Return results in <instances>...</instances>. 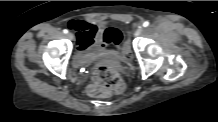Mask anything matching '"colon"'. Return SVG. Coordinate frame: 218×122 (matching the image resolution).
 Masks as SVG:
<instances>
[{
	"label": "colon",
	"mask_w": 218,
	"mask_h": 122,
	"mask_svg": "<svg viewBox=\"0 0 218 122\" xmlns=\"http://www.w3.org/2000/svg\"><path fill=\"white\" fill-rule=\"evenodd\" d=\"M126 38V33L121 27H106L102 31L101 46L103 49L115 52L119 50ZM123 52L126 58L130 57V46L125 44ZM124 90V82L120 75L105 65H99L92 74V84L88 92L92 96H108L119 94Z\"/></svg>",
	"instance_id": "obj_1"
}]
</instances>
